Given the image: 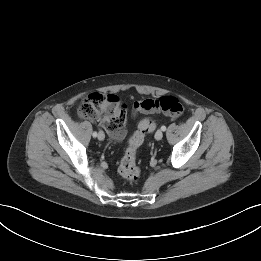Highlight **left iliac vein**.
<instances>
[{"label":"left iliac vein","instance_id":"obj_1","mask_svg":"<svg viewBox=\"0 0 261 261\" xmlns=\"http://www.w3.org/2000/svg\"><path fill=\"white\" fill-rule=\"evenodd\" d=\"M162 137H163V132H162V130L158 129V130L156 131V133H155V139H156V140H161Z\"/></svg>","mask_w":261,"mask_h":261}]
</instances>
